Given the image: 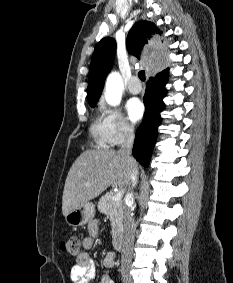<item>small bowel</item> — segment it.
I'll return each mask as SVG.
<instances>
[{
    "label": "small bowel",
    "mask_w": 233,
    "mask_h": 283,
    "mask_svg": "<svg viewBox=\"0 0 233 283\" xmlns=\"http://www.w3.org/2000/svg\"><path fill=\"white\" fill-rule=\"evenodd\" d=\"M89 235L83 239L85 250L94 247V238L98 235V225L96 221L90 222L88 226ZM115 253L109 252L103 260L105 271L102 273L99 283H114L109 269L114 265ZM95 276V264L87 252H82L77 256L76 263L72 267L70 277L73 283H89Z\"/></svg>",
    "instance_id": "1"
}]
</instances>
